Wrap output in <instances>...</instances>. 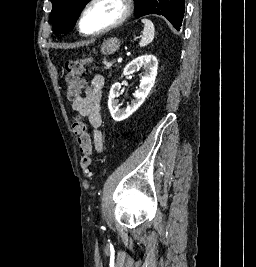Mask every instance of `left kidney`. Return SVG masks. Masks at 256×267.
I'll list each match as a JSON object with an SVG mask.
<instances>
[{
    "mask_svg": "<svg viewBox=\"0 0 256 267\" xmlns=\"http://www.w3.org/2000/svg\"><path fill=\"white\" fill-rule=\"evenodd\" d=\"M140 68H144L145 72L143 76H140L139 90L134 92V100H132L131 104H129L125 110H119V100H116L120 94L121 84L116 82V84H113L109 92L108 108L115 122H122V120L129 118L133 112H136V110L140 108L141 104L145 102V98H147L150 90H152L155 84L158 72L157 58L152 56V54H144V56L135 58V60H132V62H129V64L125 66L123 70V76H129V74L139 72Z\"/></svg>",
    "mask_w": 256,
    "mask_h": 267,
    "instance_id": "obj_1",
    "label": "left kidney"
}]
</instances>
